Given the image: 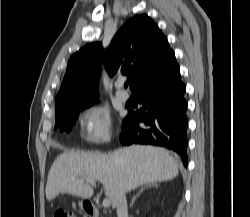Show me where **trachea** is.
<instances>
[{"label":"trachea","instance_id":"obj_1","mask_svg":"<svg viewBox=\"0 0 250 217\" xmlns=\"http://www.w3.org/2000/svg\"><path fill=\"white\" fill-rule=\"evenodd\" d=\"M124 87L127 88V87H128V83H125V84H124Z\"/></svg>","mask_w":250,"mask_h":217}]
</instances>
